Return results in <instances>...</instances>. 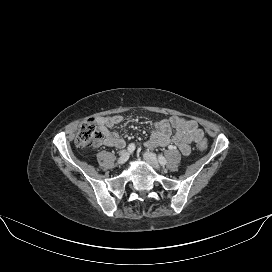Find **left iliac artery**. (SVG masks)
<instances>
[{
    "mask_svg": "<svg viewBox=\"0 0 272 272\" xmlns=\"http://www.w3.org/2000/svg\"><path fill=\"white\" fill-rule=\"evenodd\" d=\"M158 160H159V163H160L161 165H165V164H166V159H165V157H163L162 155H160V156L158 157Z\"/></svg>",
    "mask_w": 272,
    "mask_h": 272,
    "instance_id": "44dca946",
    "label": "left iliac artery"
}]
</instances>
